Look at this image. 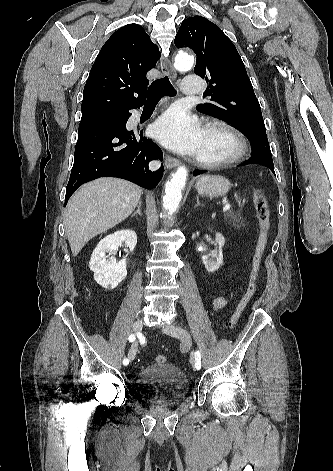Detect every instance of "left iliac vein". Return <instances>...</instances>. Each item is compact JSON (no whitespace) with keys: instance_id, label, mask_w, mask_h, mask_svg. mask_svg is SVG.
I'll use <instances>...</instances> for the list:
<instances>
[{"instance_id":"left-iliac-vein-1","label":"left iliac vein","mask_w":333,"mask_h":471,"mask_svg":"<svg viewBox=\"0 0 333 471\" xmlns=\"http://www.w3.org/2000/svg\"><path fill=\"white\" fill-rule=\"evenodd\" d=\"M162 331L169 336L180 339L186 347H190L192 345L190 334L181 327L166 324L162 327ZM191 363L195 366V357L193 353L191 355Z\"/></svg>"}]
</instances>
